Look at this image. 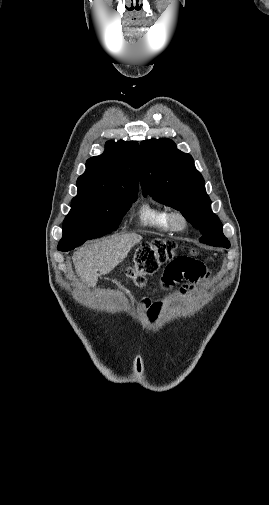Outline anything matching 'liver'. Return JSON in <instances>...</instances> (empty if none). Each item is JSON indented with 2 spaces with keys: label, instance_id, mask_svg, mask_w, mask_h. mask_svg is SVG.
<instances>
[{
  "label": "liver",
  "instance_id": "1",
  "mask_svg": "<svg viewBox=\"0 0 269 505\" xmlns=\"http://www.w3.org/2000/svg\"><path fill=\"white\" fill-rule=\"evenodd\" d=\"M141 240L142 236L127 233L80 248L72 257L76 273L88 286L95 287L98 282V272L101 275L108 274Z\"/></svg>",
  "mask_w": 269,
  "mask_h": 505
}]
</instances>
